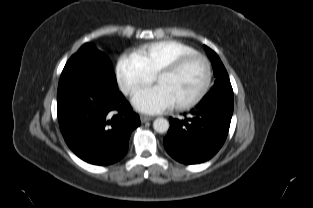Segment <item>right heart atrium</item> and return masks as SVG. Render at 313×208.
Wrapping results in <instances>:
<instances>
[{"label":"right heart atrium","mask_w":313,"mask_h":208,"mask_svg":"<svg viewBox=\"0 0 313 208\" xmlns=\"http://www.w3.org/2000/svg\"><path fill=\"white\" fill-rule=\"evenodd\" d=\"M116 79L121 91L132 94L140 87L151 83L154 75L135 54L123 55L116 65Z\"/></svg>","instance_id":"1"}]
</instances>
